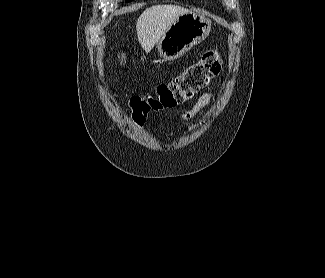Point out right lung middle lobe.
I'll use <instances>...</instances> for the list:
<instances>
[{
    "mask_svg": "<svg viewBox=\"0 0 325 278\" xmlns=\"http://www.w3.org/2000/svg\"><path fill=\"white\" fill-rule=\"evenodd\" d=\"M126 2H130V1H132V0H125Z\"/></svg>",
    "mask_w": 325,
    "mask_h": 278,
    "instance_id": "1",
    "label": "right lung middle lobe"
}]
</instances>
